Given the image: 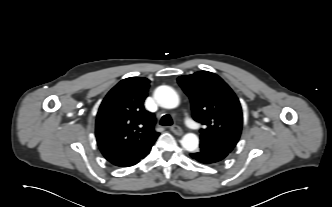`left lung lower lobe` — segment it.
Segmentation results:
<instances>
[{
  "label": "left lung lower lobe",
  "mask_w": 332,
  "mask_h": 207,
  "mask_svg": "<svg viewBox=\"0 0 332 207\" xmlns=\"http://www.w3.org/2000/svg\"><path fill=\"white\" fill-rule=\"evenodd\" d=\"M229 153L208 146L200 145V148L190 156L202 164H214L223 160Z\"/></svg>",
  "instance_id": "1"
}]
</instances>
